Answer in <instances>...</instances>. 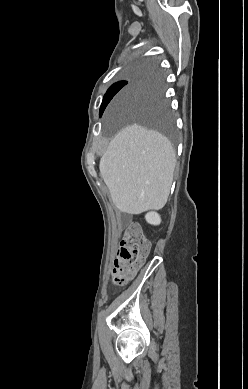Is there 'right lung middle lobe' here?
<instances>
[{
	"instance_id": "dd1d6c3e",
	"label": "right lung middle lobe",
	"mask_w": 248,
	"mask_h": 389,
	"mask_svg": "<svg viewBox=\"0 0 248 389\" xmlns=\"http://www.w3.org/2000/svg\"><path fill=\"white\" fill-rule=\"evenodd\" d=\"M153 69L148 64L136 67L130 74L128 81H120L113 84L104 95L100 116L108 103L117 92L127 83L133 86L144 85L147 94L142 100H134L125 107V112L136 122L156 129L169 141L175 142L176 135L173 128V120L167 102L163 98V90L160 80L152 75Z\"/></svg>"
}]
</instances>
